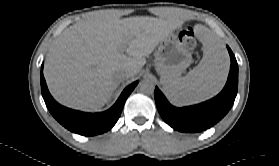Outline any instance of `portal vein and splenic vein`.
<instances>
[{"instance_id": "portal-vein-and-splenic-vein-1", "label": "portal vein and splenic vein", "mask_w": 279, "mask_h": 166, "mask_svg": "<svg viewBox=\"0 0 279 166\" xmlns=\"http://www.w3.org/2000/svg\"><path fill=\"white\" fill-rule=\"evenodd\" d=\"M124 50H125L124 47H121L120 51L123 52Z\"/></svg>"}]
</instances>
